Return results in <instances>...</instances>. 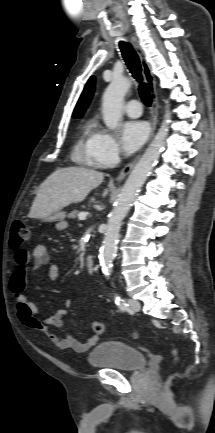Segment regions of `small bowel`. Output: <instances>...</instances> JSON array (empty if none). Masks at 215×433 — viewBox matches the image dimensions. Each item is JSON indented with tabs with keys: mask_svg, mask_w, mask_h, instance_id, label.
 I'll return each instance as SVG.
<instances>
[{
	"mask_svg": "<svg viewBox=\"0 0 215 433\" xmlns=\"http://www.w3.org/2000/svg\"><path fill=\"white\" fill-rule=\"evenodd\" d=\"M31 260H33V266L36 269L49 263L50 256L44 244H36L31 252H28L25 249H18L14 253L16 268L11 274L9 289L15 299L19 320L28 328L47 334L52 344L61 350L70 349L77 353L87 352L98 342L99 337L93 335L86 341L81 342L66 329L63 317L66 313V308L71 305L70 301L66 302L65 308L59 309L51 315L44 317L25 295L29 263ZM60 273L61 270L58 265H51L48 270V278L55 281L59 278ZM50 326L62 330L63 336L50 332Z\"/></svg>",
	"mask_w": 215,
	"mask_h": 433,
	"instance_id": "obj_1",
	"label": "small bowel"
}]
</instances>
